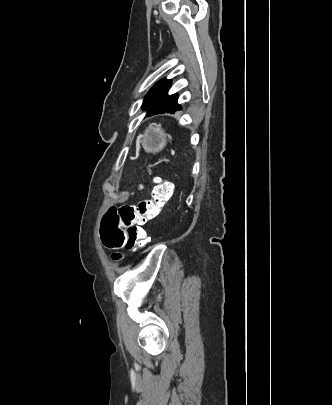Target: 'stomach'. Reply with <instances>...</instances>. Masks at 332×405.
Masks as SVG:
<instances>
[{
	"label": "stomach",
	"mask_w": 332,
	"mask_h": 405,
	"mask_svg": "<svg viewBox=\"0 0 332 405\" xmlns=\"http://www.w3.org/2000/svg\"><path fill=\"white\" fill-rule=\"evenodd\" d=\"M140 143L148 153H159L166 146L163 130L159 126L149 127L145 134L141 136Z\"/></svg>",
	"instance_id": "0dacf381"
}]
</instances>
